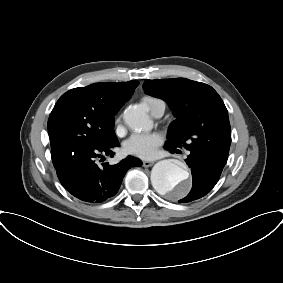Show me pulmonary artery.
<instances>
[{
  "label": "pulmonary artery",
  "mask_w": 283,
  "mask_h": 283,
  "mask_svg": "<svg viewBox=\"0 0 283 283\" xmlns=\"http://www.w3.org/2000/svg\"><path fill=\"white\" fill-rule=\"evenodd\" d=\"M164 111H165V103L161 102L152 110V114L155 117H161Z\"/></svg>",
  "instance_id": "obj_1"
}]
</instances>
